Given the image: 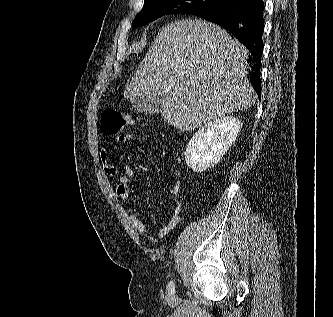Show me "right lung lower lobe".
Wrapping results in <instances>:
<instances>
[{
	"instance_id": "right-lung-lower-lobe-1",
	"label": "right lung lower lobe",
	"mask_w": 333,
	"mask_h": 317,
	"mask_svg": "<svg viewBox=\"0 0 333 317\" xmlns=\"http://www.w3.org/2000/svg\"><path fill=\"white\" fill-rule=\"evenodd\" d=\"M264 3L262 0H231L197 16L215 23L237 38L251 53V84L261 96L260 65L263 51Z\"/></svg>"
}]
</instances>
